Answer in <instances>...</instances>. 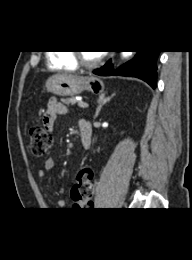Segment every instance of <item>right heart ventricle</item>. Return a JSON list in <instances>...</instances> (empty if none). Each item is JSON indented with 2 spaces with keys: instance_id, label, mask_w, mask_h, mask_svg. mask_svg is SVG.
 <instances>
[{
  "instance_id": "e07e8e85",
  "label": "right heart ventricle",
  "mask_w": 192,
  "mask_h": 260,
  "mask_svg": "<svg viewBox=\"0 0 192 260\" xmlns=\"http://www.w3.org/2000/svg\"><path fill=\"white\" fill-rule=\"evenodd\" d=\"M48 64L52 69L56 70L74 71L78 68V64L70 51L50 53Z\"/></svg>"
}]
</instances>
